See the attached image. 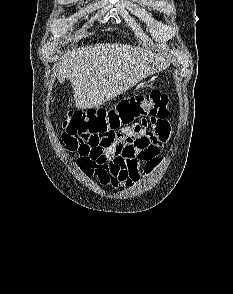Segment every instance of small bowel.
Segmentation results:
<instances>
[{
  "label": "small bowel",
  "mask_w": 233,
  "mask_h": 294,
  "mask_svg": "<svg viewBox=\"0 0 233 294\" xmlns=\"http://www.w3.org/2000/svg\"><path fill=\"white\" fill-rule=\"evenodd\" d=\"M130 131L125 132V137H131L132 143L120 149H105L100 157H80V171L88 178H96L102 186L113 188L131 186L149 175L162 160L159 149L170 136V126L165 117H140L130 123Z\"/></svg>",
  "instance_id": "c3829d8e"
}]
</instances>
